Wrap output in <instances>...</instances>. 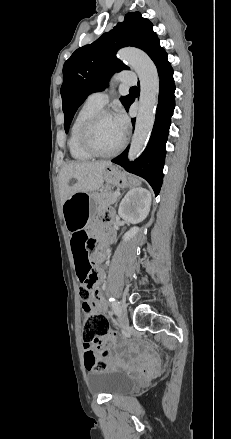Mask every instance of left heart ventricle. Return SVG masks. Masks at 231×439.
Instances as JSON below:
<instances>
[{
    "mask_svg": "<svg viewBox=\"0 0 231 439\" xmlns=\"http://www.w3.org/2000/svg\"><path fill=\"white\" fill-rule=\"evenodd\" d=\"M92 137L96 147L103 152L115 149L122 141L113 116L100 119L94 128Z\"/></svg>",
    "mask_w": 231,
    "mask_h": 439,
    "instance_id": "obj_1",
    "label": "left heart ventricle"
}]
</instances>
